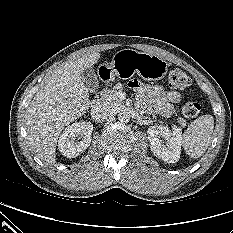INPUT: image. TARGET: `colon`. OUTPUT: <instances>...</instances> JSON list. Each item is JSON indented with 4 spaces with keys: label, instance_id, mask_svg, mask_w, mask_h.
<instances>
[{
    "label": "colon",
    "instance_id": "5ec220e1",
    "mask_svg": "<svg viewBox=\"0 0 233 233\" xmlns=\"http://www.w3.org/2000/svg\"><path fill=\"white\" fill-rule=\"evenodd\" d=\"M168 83L174 89H186L192 84V79L181 69L174 68L170 71ZM201 106L198 102L187 100L182 104V114L188 119L199 115Z\"/></svg>",
    "mask_w": 233,
    "mask_h": 233
}]
</instances>
